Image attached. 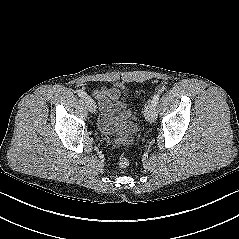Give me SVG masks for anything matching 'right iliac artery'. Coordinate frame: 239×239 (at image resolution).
Returning <instances> with one entry per match:
<instances>
[{"label":"right iliac artery","mask_w":239,"mask_h":239,"mask_svg":"<svg viewBox=\"0 0 239 239\" xmlns=\"http://www.w3.org/2000/svg\"><path fill=\"white\" fill-rule=\"evenodd\" d=\"M77 94H78V96L81 97V98H84V97L86 96V93H85L84 91H82V90H78V91H77Z\"/></svg>","instance_id":"82829eb1"}]
</instances>
